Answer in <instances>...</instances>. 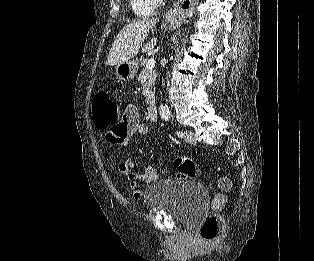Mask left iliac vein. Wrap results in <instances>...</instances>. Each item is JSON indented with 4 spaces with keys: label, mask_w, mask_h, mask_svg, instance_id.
Listing matches in <instances>:
<instances>
[{
    "label": "left iliac vein",
    "mask_w": 314,
    "mask_h": 261,
    "mask_svg": "<svg viewBox=\"0 0 314 261\" xmlns=\"http://www.w3.org/2000/svg\"><path fill=\"white\" fill-rule=\"evenodd\" d=\"M185 141L189 144H195L196 143V139L194 137L193 132L187 130L185 131Z\"/></svg>",
    "instance_id": "left-iliac-vein-1"
}]
</instances>
